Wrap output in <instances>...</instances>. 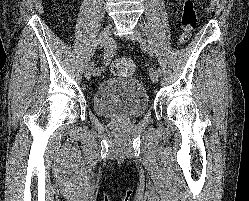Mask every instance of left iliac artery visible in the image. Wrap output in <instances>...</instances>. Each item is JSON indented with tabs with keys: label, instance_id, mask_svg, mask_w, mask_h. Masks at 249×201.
Returning <instances> with one entry per match:
<instances>
[{
	"label": "left iliac artery",
	"instance_id": "1",
	"mask_svg": "<svg viewBox=\"0 0 249 201\" xmlns=\"http://www.w3.org/2000/svg\"><path fill=\"white\" fill-rule=\"evenodd\" d=\"M141 46L150 55H153L152 48H151V46H150V44H149V42L147 40H143ZM156 71L158 72L159 75H161V70L159 68Z\"/></svg>",
	"mask_w": 249,
	"mask_h": 201
}]
</instances>
